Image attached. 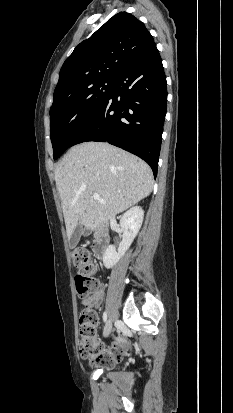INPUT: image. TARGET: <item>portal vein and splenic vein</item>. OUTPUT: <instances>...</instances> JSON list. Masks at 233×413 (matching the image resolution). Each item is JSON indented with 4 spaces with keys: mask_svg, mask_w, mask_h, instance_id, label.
<instances>
[{
    "mask_svg": "<svg viewBox=\"0 0 233 413\" xmlns=\"http://www.w3.org/2000/svg\"><path fill=\"white\" fill-rule=\"evenodd\" d=\"M93 198L101 203H104L105 201L100 197L99 194H93Z\"/></svg>",
    "mask_w": 233,
    "mask_h": 413,
    "instance_id": "obj_1",
    "label": "portal vein and splenic vein"
}]
</instances>
